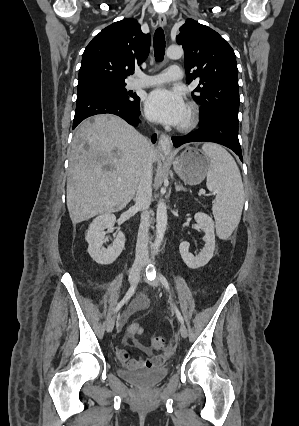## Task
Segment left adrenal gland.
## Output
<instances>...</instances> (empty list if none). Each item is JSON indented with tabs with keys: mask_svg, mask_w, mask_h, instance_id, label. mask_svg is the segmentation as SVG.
Masks as SVG:
<instances>
[{
	"mask_svg": "<svg viewBox=\"0 0 299 426\" xmlns=\"http://www.w3.org/2000/svg\"><path fill=\"white\" fill-rule=\"evenodd\" d=\"M175 189H176V192H179V191H184V192H186V188H185V187H183V185H182V184H180V183L175 184Z\"/></svg>",
	"mask_w": 299,
	"mask_h": 426,
	"instance_id": "obj_1",
	"label": "left adrenal gland"
}]
</instances>
